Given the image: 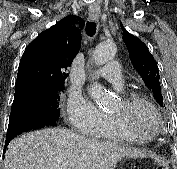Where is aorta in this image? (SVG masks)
<instances>
[{"label":"aorta","instance_id":"obj_1","mask_svg":"<svg viewBox=\"0 0 177 169\" xmlns=\"http://www.w3.org/2000/svg\"><path fill=\"white\" fill-rule=\"evenodd\" d=\"M116 54V46L111 41L102 42L96 46L93 52V58L97 66L106 64L114 58ZM89 93L98 105L109 104L111 97L105 92L104 88L98 84L93 83L89 88Z\"/></svg>","mask_w":177,"mask_h":169}]
</instances>
